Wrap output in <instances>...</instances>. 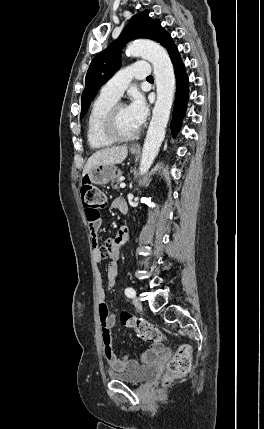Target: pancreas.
Masks as SVG:
<instances>
[{"instance_id":"pancreas-1","label":"pancreas","mask_w":264,"mask_h":429,"mask_svg":"<svg viewBox=\"0 0 264 429\" xmlns=\"http://www.w3.org/2000/svg\"><path fill=\"white\" fill-rule=\"evenodd\" d=\"M122 176V172L118 171V173L111 179V186L113 189H119V183L121 182L120 177Z\"/></svg>"}]
</instances>
